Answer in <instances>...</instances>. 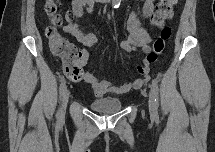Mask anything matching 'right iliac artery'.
Segmentation results:
<instances>
[{
	"label": "right iliac artery",
	"instance_id": "82829eb1",
	"mask_svg": "<svg viewBox=\"0 0 215 152\" xmlns=\"http://www.w3.org/2000/svg\"><path fill=\"white\" fill-rule=\"evenodd\" d=\"M65 89H66V81L64 80L61 82L60 88H59L60 97L64 94ZM57 119L58 120L61 119L60 110H58V112H57Z\"/></svg>",
	"mask_w": 215,
	"mask_h": 152
}]
</instances>
